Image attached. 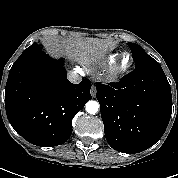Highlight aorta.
I'll list each match as a JSON object with an SVG mask.
<instances>
[{
    "instance_id": "1",
    "label": "aorta",
    "mask_w": 178,
    "mask_h": 178,
    "mask_svg": "<svg viewBox=\"0 0 178 178\" xmlns=\"http://www.w3.org/2000/svg\"><path fill=\"white\" fill-rule=\"evenodd\" d=\"M85 109L89 114H95L98 112L99 103L97 101H88L85 105Z\"/></svg>"
}]
</instances>
